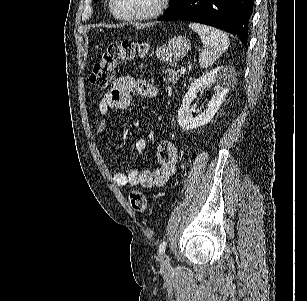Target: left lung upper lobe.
Returning a JSON list of instances; mask_svg holds the SVG:
<instances>
[{
	"instance_id": "1",
	"label": "left lung upper lobe",
	"mask_w": 307,
	"mask_h": 301,
	"mask_svg": "<svg viewBox=\"0 0 307 301\" xmlns=\"http://www.w3.org/2000/svg\"><path fill=\"white\" fill-rule=\"evenodd\" d=\"M181 0H172V2H171V4H170V6H169V8H171V7H173V6H175L177 3H179ZM168 8V9H169Z\"/></svg>"
}]
</instances>
